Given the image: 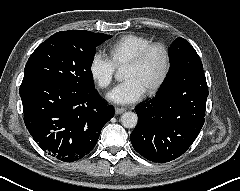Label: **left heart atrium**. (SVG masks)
Segmentation results:
<instances>
[{"mask_svg":"<svg viewBox=\"0 0 240 191\" xmlns=\"http://www.w3.org/2000/svg\"><path fill=\"white\" fill-rule=\"evenodd\" d=\"M145 92L146 89L142 83L131 77L118 84L107 97L117 104H129L140 100Z\"/></svg>","mask_w":240,"mask_h":191,"instance_id":"left-heart-atrium-1","label":"left heart atrium"}]
</instances>
